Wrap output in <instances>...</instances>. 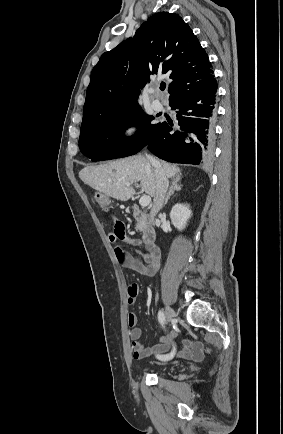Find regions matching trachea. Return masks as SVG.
<instances>
[{
  "mask_svg": "<svg viewBox=\"0 0 283 434\" xmlns=\"http://www.w3.org/2000/svg\"><path fill=\"white\" fill-rule=\"evenodd\" d=\"M166 88V85L165 84H161V86H160V90H164Z\"/></svg>",
  "mask_w": 283,
  "mask_h": 434,
  "instance_id": "trachea-1",
  "label": "trachea"
}]
</instances>
